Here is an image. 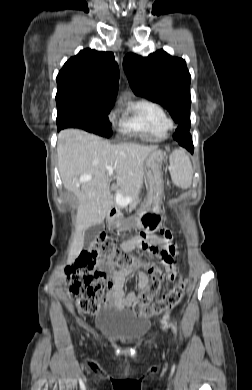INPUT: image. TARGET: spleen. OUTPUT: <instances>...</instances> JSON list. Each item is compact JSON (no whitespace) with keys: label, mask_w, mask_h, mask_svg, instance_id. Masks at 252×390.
<instances>
[{"label":"spleen","mask_w":252,"mask_h":390,"mask_svg":"<svg viewBox=\"0 0 252 390\" xmlns=\"http://www.w3.org/2000/svg\"><path fill=\"white\" fill-rule=\"evenodd\" d=\"M170 175L173 183L183 189L192 184L193 170L190 159L182 150H175L169 158Z\"/></svg>","instance_id":"spleen-1"}]
</instances>
